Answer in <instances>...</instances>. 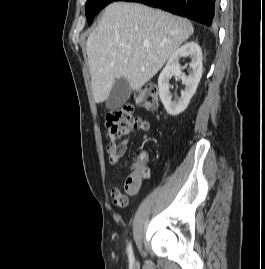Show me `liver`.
<instances>
[{
    "label": "liver",
    "instance_id": "liver-1",
    "mask_svg": "<svg viewBox=\"0 0 265 269\" xmlns=\"http://www.w3.org/2000/svg\"><path fill=\"white\" fill-rule=\"evenodd\" d=\"M193 32L190 21L159 9L108 5L86 44L95 102L105 101L120 78L139 90Z\"/></svg>",
    "mask_w": 265,
    "mask_h": 269
}]
</instances>
